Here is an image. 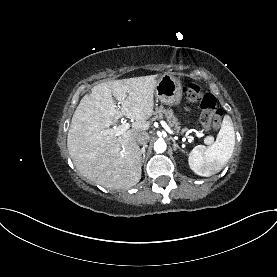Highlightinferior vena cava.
<instances>
[{
  "label": "inferior vena cava",
  "mask_w": 277,
  "mask_h": 277,
  "mask_svg": "<svg viewBox=\"0 0 277 277\" xmlns=\"http://www.w3.org/2000/svg\"><path fill=\"white\" fill-rule=\"evenodd\" d=\"M149 134L147 132H139L134 135V139L137 144L147 146V142L149 141Z\"/></svg>",
  "instance_id": "1"
}]
</instances>
